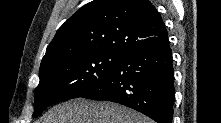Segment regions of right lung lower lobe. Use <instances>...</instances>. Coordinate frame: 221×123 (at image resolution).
Returning a JSON list of instances; mask_svg holds the SVG:
<instances>
[{
    "mask_svg": "<svg viewBox=\"0 0 221 123\" xmlns=\"http://www.w3.org/2000/svg\"><path fill=\"white\" fill-rule=\"evenodd\" d=\"M169 41L130 52L108 78L81 97L135 109L158 123H172L174 69Z\"/></svg>",
    "mask_w": 221,
    "mask_h": 123,
    "instance_id": "98d812e1",
    "label": "right lung lower lobe"
}]
</instances>
